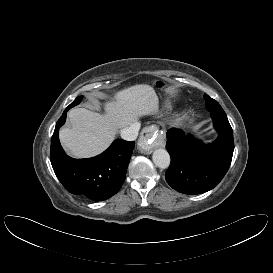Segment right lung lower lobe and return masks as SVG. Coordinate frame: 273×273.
<instances>
[{
  "instance_id": "1",
  "label": "right lung lower lobe",
  "mask_w": 273,
  "mask_h": 273,
  "mask_svg": "<svg viewBox=\"0 0 273 273\" xmlns=\"http://www.w3.org/2000/svg\"><path fill=\"white\" fill-rule=\"evenodd\" d=\"M63 112L51 139L50 160L62 185L72 194L102 201L116 194L125 181L126 170L135 142L116 139L102 154L89 159H74L62 149L58 132L65 123Z\"/></svg>"
}]
</instances>
